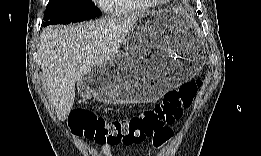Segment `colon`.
<instances>
[{
	"mask_svg": "<svg viewBox=\"0 0 261 156\" xmlns=\"http://www.w3.org/2000/svg\"><path fill=\"white\" fill-rule=\"evenodd\" d=\"M201 85L200 80L187 81L168 92L160 103L121 119L108 120L89 109H76L70 114L69 126L76 135L99 144L134 145L152 138L159 148L170 139V125L190 108Z\"/></svg>",
	"mask_w": 261,
	"mask_h": 156,
	"instance_id": "colon-1",
	"label": "colon"
}]
</instances>
